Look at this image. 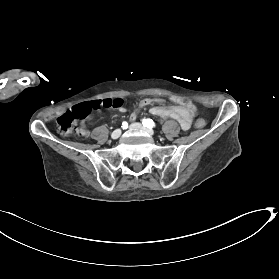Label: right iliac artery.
<instances>
[{
  "instance_id": "obj_1",
  "label": "right iliac artery",
  "mask_w": 279,
  "mask_h": 279,
  "mask_svg": "<svg viewBox=\"0 0 279 279\" xmlns=\"http://www.w3.org/2000/svg\"><path fill=\"white\" fill-rule=\"evenodd\" d=\"M121 127H122L123 129H126V128L128 127V123H127V122H123Z\"/></svg>"
}]
</instances>
